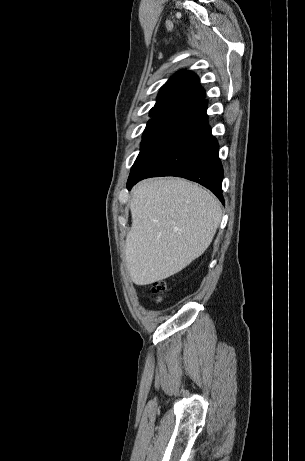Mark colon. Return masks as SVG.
Returning <instances> with one entry per match:
<instances>
[{"instance_id":"5ec220e1","label":"colon","mask_w":305,"mask_h":461,"mask_svg":"<svg viewBox=\"0 0 305 461\" xmlns=\"http://www.w3.org/2000/svg\"><path fill=\"white\" fill-rule=\"evenodd\" d=\"M166 285L162 281H157L152 284V292L157 295L158 300H161V294L165 291Z\"/></svg>"}]
</instances>
